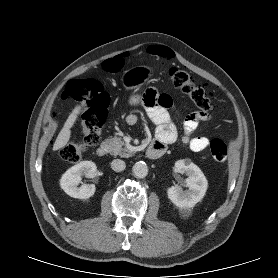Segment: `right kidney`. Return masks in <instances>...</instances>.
<instances>
[{
    "mask_svg": "<svg viewBox=\"0 0 278 278\" xmlns=\"http://www.w3.org/2000/svg\"><path fill=\"white\" fill-rule=\"evenodd\" d=\"M97 167L92 161H82L69 168L60 179V186L66 194L73 198L87 199L94 195V184H83L80 187L82 176L93 177Z\"/></svg>",
    "mask_w": 278,
    "mask_h": 278,
    "instance_id": "1",
    "label": "right kidney"
}]
</instances>
